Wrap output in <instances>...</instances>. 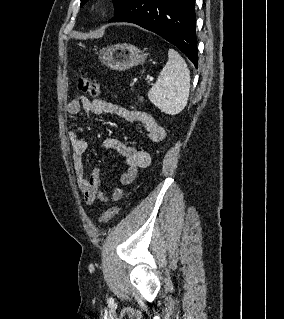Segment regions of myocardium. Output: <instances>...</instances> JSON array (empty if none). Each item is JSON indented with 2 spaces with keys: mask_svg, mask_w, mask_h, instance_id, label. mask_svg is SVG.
Instances as JSON below:
<instances>
[{
  "mask_svg": "<svg viewBox=\"0 0 284 319\" xmlns=\"http://www.w3.org/2000/svg\"><path fill=\"white\" fill-rule=\"evenodd\" d=\"M104 10V3L101 1L94 2L91 6V12L94 14H100Z\"/></svg>",
  "mask_w": 284,
  "mask_h": 319,
  "instance_id": "1",
  "label": "myocardium"
}]
</instances>
